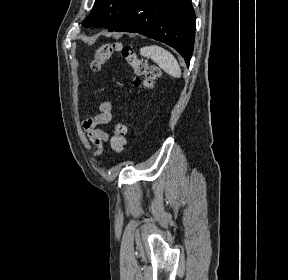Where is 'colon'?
Returning <instances> with one entry per match:
<instances>
[{"label": "colon", "mask_w": 288, "mask_h": 280, "mask_svg": "<svg viewBox=\"0 0 288 280\" xmlns=\"http://www.w3.org/2000/svg\"><path fill=\"white\" fill-rule=\"evenodd\" d=\"M113 53H119L132 67L138 76L135 83L144 88L151 89L154 87L156 80L160 76V70L157 66L150 64L146 59L137 56L135 50L120 42L106 43L101 45L94 53L91 68L98 71L108 62ZM139 77H143L141 80ZM126 125L118 123L115 126V132L110 140L111 149L116 153H122L126 149Z\"/></svg>", "instance_id": "obj_1"}]
</instances>
